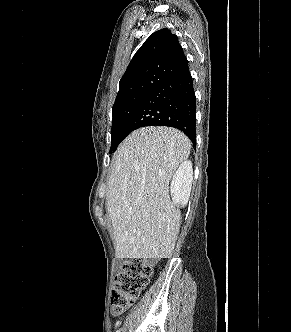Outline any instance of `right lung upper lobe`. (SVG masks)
<instances>
[{
  "label": "right lung upper lobe",
  "instance_id": "1",
  "mask_svg": "<svg viewBox=\"0 0 291 332\" xmlns=\"http://www.w3.org/2000/svg\"><path fill=\"white\" fill-rule=\"evenodd\" d=\"M187 67L177 36L166 28L156 31L132 58L119 82L116 100L159 85Z\"/></svg>",
  "mask_w": 291,
  "mask_h": 332
}]
</instances>
